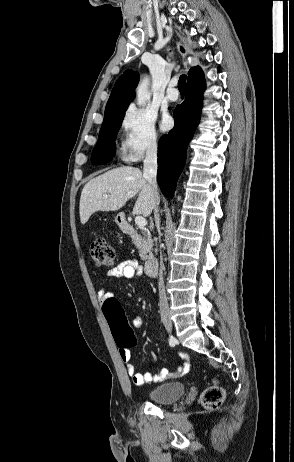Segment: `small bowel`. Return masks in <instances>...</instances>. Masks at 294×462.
Listing matches in <instances>:
<instances>
[{"instance_id": "obj_1", "label": "small bowel", "mask_w": 294, "mask_h": 462, "mask_svg": "<svg viewBox=\"0 0 294 462\" xmlns=\"http://www.w3.org/2000/svg\"><path fill=\"white\" fill-rule=\"evenodd\" d=\"M141 274V268L135 260H126L119 263L116 267L110 269L106 275L112 278H134ZM110 296V293L105 289H100L97 292V297L104 301ZM134 327L139 328L144 325V319L141 316H137L132 320ZM119 355L121 360L126 366V371L128 375L132 378V381L135 385L141 386L146 383L151 382H160L168 380L170 378H179L185 375L189 371V363L187 361V356L184 353H180L185 361L181 363L174 372H169L166 369L160 370L157 374H152L150 372L139 373L136 371L134 364L131 361V353L128 348H119ZM154 356V354L152 353Z\"/></svg>"}]
</instances>
